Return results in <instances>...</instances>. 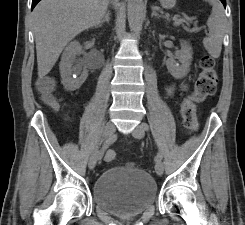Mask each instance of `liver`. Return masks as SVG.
I'll list each match as a JSON object with an SVG mask.
<instances>
[{"label": "liver", "instance_id": "liver-1", "mask_svg": "<svg viewBox=\"0 0 245 225\" xmlns=\"http://www.w3.org/2000/svg\"><path fill=\"white\" fill-rule=\"evenodd\" d=\"M109 0H42L32 13L38 77L53 68L64 47L82 31L97 26Z\"/></svg>", "mask_w": 245, "mask_h": 225}]
</instances>
